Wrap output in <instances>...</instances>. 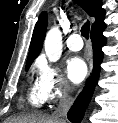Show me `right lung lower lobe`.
<instances>
[{
  "instance_id": "obj_1",
  "label": "right lung lower lobe",
  "mask_w": 118,
  "mask_h": 123,
  "mask_svg": "<svg viewBox=\"0 0 118 123\" xmlns=\"http://www.w3.org/2000/svg\"><path fill=\"white\" fill-rule=\"evenodd\" d=\"M102 31L91 34V40L93 44V74L88 80L84 90L79 95L74 105L69 110L67 117L72 123H80L86 107L88 106L93 90L95 88L96 82L99 77L100 64L102 63L104 53L102 47L105 45L106 38L102 35Z\"/></svg>"
}]
</instances>
